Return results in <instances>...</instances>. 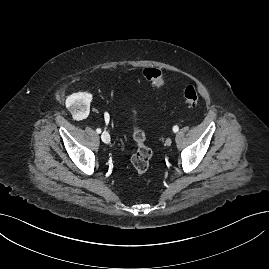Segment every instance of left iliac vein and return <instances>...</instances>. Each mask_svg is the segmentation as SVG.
I'll use <instances>...</instances> for the list:
<instances>
[{"label":"left iliac vein","instance_id":"left-iliac-vein-1","mask_svg":"<svg viewBox=\"0 0 269 269\" xmlns=\"http://www.w3.org/2000/svg\"><path fill=\"white\" fill-rule=\"evenodd\" d=\"M172 144V140L170 138H167L165 141L166 146H170Z\"/></svg>","mask_w":269,"mask_h":269}]
</instances>
